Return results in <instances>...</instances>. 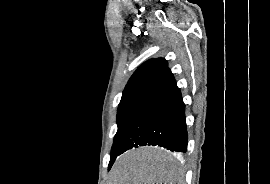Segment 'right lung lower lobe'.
<instances>
[{
    "mask_svg": "<svg viewBox=\"0 0 270 184\" xmlns=\"http://www.w3.org/2000/svg\"><path fill=\"white\" fill-rule=\"evenodd\" d=\"M187 142L185 105L174 80L149 97L131 125L119 155L145 145L186 152Z\"/></svg>",
    "mask_w": 270,
    "mask_h": 184,
    "instance_id": "right-lung-lower-lobe-1",
    "label": "right lung lower lobe"
}]
</instances>
